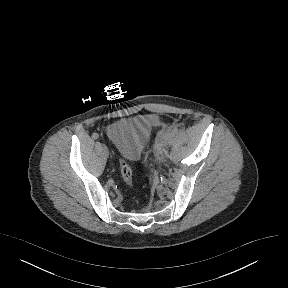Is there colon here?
<instances>
[{"mask_svg": "<svg viewBox=\"0 0 288 288\" xmlns=\"http://www.w3.org/2000/svg\"><path fill=\"white\" fill-rule=\"evenodd\" d=\"M120 172H121V177L123 181L128 186H131L133 183V171L131 167L126 162H122L120 166Z\"/></svg>", "mask_w": 288, "mask_h": 288, "instance_id": "colon-1", "label": "colon"}]
</instances>
